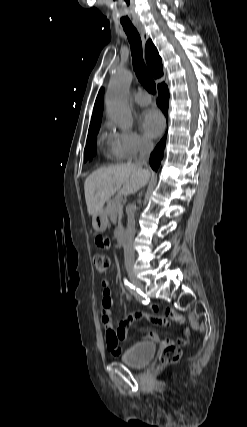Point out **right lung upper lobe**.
<instances>
[{
    "label": "right lung upper lobe",
    "instance_id": "cb5924a9",
    "mask_svg": "<svg viewBox=\"0 0 247 427\" xmlns=\"http://www.w3.org/2000/svg\"><path fill=\"white\" fill-rule=\"evenodd\" d=\"M145 55L148 67L154 78H159L163 75L162 60L158 54L156 47L151 40H148L145 47ZM103 88L99 91L93 110V115L90 123V128L101 124L103 110Z\"/></svg>",
    "mask_w": 247,
    "mask_h": 427
}]
</instances>
